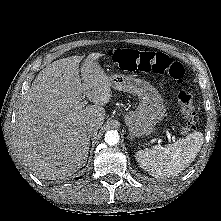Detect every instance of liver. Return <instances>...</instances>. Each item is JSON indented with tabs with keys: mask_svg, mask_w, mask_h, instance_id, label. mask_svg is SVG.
I'll return each mask as SVG.
<instances>
[{
	"mask_svg": "<svg viewBox=\"0 0 221 221\" xmlns=\"http://www.w3.org/2000/svg\"><path fill=\"white\" fill-rule=\"evenodd\" d=\"M100 53L52 62L35 78L24 95L16 120L13 147L39 179L71 177L86 162L90 136L87 126L99 128L104 105L111 99L109 77L98 64ZM87 97L93 104H83Z\"/></svg>",
	"mask_w": 221,
	"mask_h": 221,
	"instance_id": "obj_1",
	"label": "liver"
}]
</instances>
